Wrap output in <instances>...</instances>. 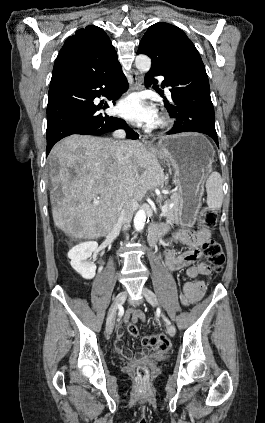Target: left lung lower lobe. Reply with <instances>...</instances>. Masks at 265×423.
Wrapping results in <instances>:
<instances>
[{"mask_svg": "<svg viewBox=\"0 0 265 423\" xmlns=\"http://www.w3.org/2000/svg\"><path fill=\"white\" fill-rule=\"evenodd\" d=\"M153 75L164 76L162 87H170L171 98L164 102L176 122L167 134L199 132L218 145L209 80L199 53L191 51L164 69H150L145 76L147 84L157 83Z\"/></svg>", "mask_w": 265, "mask_h": 423, "instance_id": "0a47b994", "label": "left lung lower lobe"}]
</instances>
